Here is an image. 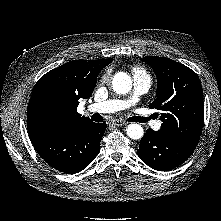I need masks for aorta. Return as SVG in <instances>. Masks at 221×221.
<instances>
[{
	"mask_svg": "<svg viewBox=\"0 0 221 221\" xmlns=\"http://www.w3.org/2000/svg\"><path fill=\"white\" fill-rule=\"evenodd\" d=\"M113 89L117 94H126L132 88V80L130 76L124 72L115 74L112 81ZM127 135L133 139L138 140L143 137L144 131L139 124H130L126 129Z\"/></svg>",
	"mask_w": 221,
	"mask_h": 221,
	"instance_id": "obj_1",
	"label": "aorta"
}]
</instances>
